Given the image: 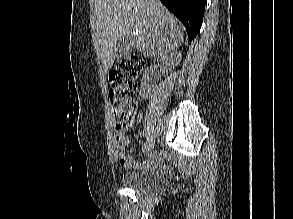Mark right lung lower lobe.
I'll use <instances>...</instances> for the list:
<instances>
[{
  "label": "right lung lower lobe",
  "instance_id": "right-lung-lower-lobe-1",
  "mask_svg": "<svg viewBox=\"0 0 293 219\" xmlns=\"http://www.w3.org/2000/svg\"><path fill=\"white\" fill-rule=\"evenodd\" d=\"M206 0H161V2L183 23L189 40L199 32Z\"/></svg>",
  "mask_w": 293,
  "mask_h": 219
}]
</instances>
